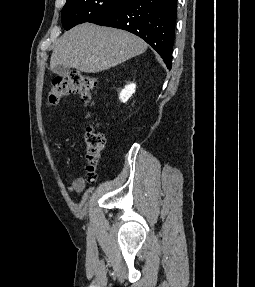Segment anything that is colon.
Instances as JSON below:
<instances>
[{"instance_id": "5ec220e1", "label": "colon", "mask_w": 255, "mask_h": 287, "mask_svg": "<svg viewBox=\"0 0 255 287\" xmlns=\"http://www.w3.org/2000/svg\"><path fill=\"white\" fill-rule=\"evenodd\" d=\"M97 82L94 78L84 76L79 71H71L67 77L58 78L47 94V104L51 107L58 105L66 96L79 94L85 104H89L96 94ZM86 158L88 161L86 179L89 182L96 180V166L101 158L104 146V135L88 126L84 135Z\"/></svg>"}]
</instances>
